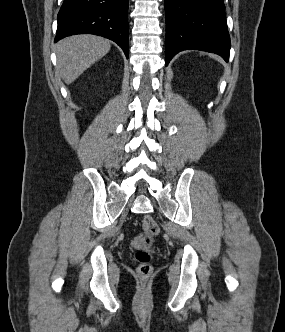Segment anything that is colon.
Masks as SVG:
<instances>
[{
  "instance_id": "1",
  "label": "colon",
  "mask_w": 285,
  "mask_h": 332,
  "mask_svg": "<svg viewBox=\"0 0 285 332\" xmlns=\"http://www.w3.org/2000/svg\"><path fill=\"white\" fill-rule=\"evenodd\" d=\"M143 234L133 239L135 248L134 258L137 261V273L140 278L146 279L152 273V253L154 252L153 238L158 235L159 227L155 220L149 216H144L142 220Z\"/></svg>"
}]
</instances>
